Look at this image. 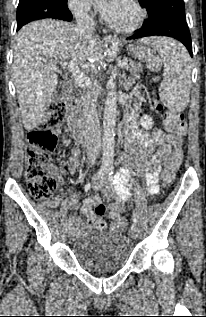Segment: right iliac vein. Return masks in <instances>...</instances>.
<instances>
[{"instance_id": "1", "label": "right iliac vein", "mask_w": 206, "mask_h": 317, "mask_svg": "<svg viewBox=\"0 0 206 317\" xmlns=\"http://www.w3.org/2000/svg\"><path fill=\"white\" fill-rule=\"evenodd\" d=\"M67 232H68V237L72 239L75 236L76 229L74 226H70Z\"/></svg>"}]
</instances>
